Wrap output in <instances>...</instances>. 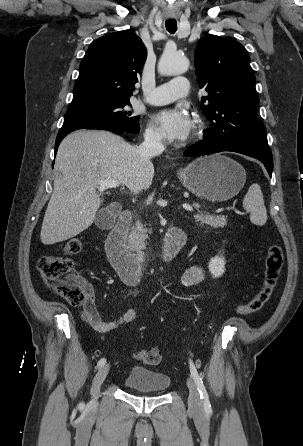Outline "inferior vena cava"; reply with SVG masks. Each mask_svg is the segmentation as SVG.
Instances as JSON below:
<instances>
[{
    "label": "inferior vena cava",
    "instance_id": "602c4592",
    "mask_svg": "<svg viewBox=\"0 0 303 446\" xmlns=\"http://www.w3.org/2000/svg\"><path fill=\"white\" fill-rule=\"evenodd\" d=\"M164 145L158 134L148 133L145 135L144 142L137 148L141 161L150 160L152 157L163 152Z\"/></svg>",
    "mask_w": 303,
    "mask_h": 446
}]
</instances>
